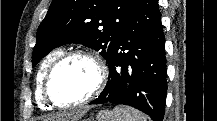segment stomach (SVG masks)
<instances>
[{
    "mask_svg": "<svg viewBox=\"0 0 217 121\" xmlns=\"http://www.w3.org/2000/svg\"><path fill=\"white\" fill-rule=\"evenodd\" d=\"M86 121H93V120L89 118V119H87Z\"/></svg>",
    "mask_w": 217,
    "mask_h": 121,
    "instance_id": "stomach-1",
    "label": "stomach"
}]
</instances>
